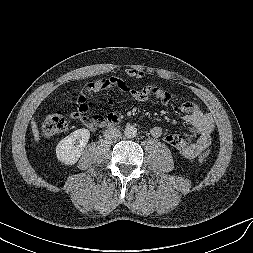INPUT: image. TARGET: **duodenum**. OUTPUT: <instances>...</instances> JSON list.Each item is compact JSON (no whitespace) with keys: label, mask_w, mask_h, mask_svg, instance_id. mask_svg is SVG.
I'll return each mask as SVG.
<instances>
[{"label":"duodenum","mask_w":253,"mask_h":253,"mask_svg":"<svg viewBox=\"0 0 253 253\" xmlns=\"http://www.w3.org/2000/svg\"><path fill=\"white\" fill-rule=\"evenodd\" d=\"M119 121H120V119H119L118 117H112V118L110 119L109 124H110V125H115V124H117Z\"/></svg>","instance_id":"410a0bca"}]
</instances>
